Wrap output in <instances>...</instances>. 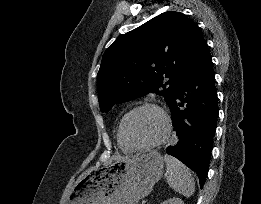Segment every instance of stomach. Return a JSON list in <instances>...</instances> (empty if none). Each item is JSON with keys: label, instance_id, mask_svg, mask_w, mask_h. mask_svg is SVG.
Returning <instances> with one entry per match:
<instances>
[{"label": "stomach", "instance_id": "0dacf381", "mask_svg": "<svg viewBox=\"0 0 261 204\" xmlns=\"http://www.w3.org/2000/svg\"><path fill=\"white\" fill-rule=\"evenodd\" d=\"M164 172L156 151L119 159L85 173L73 186L67 204H137Z\"/></svg>", "mask_w": 261, "mask_h": 204}]
</instances>
